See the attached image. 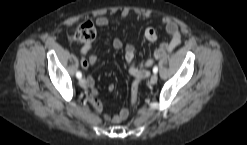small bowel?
<instances>
[{
  "label": "small bowel",
  "mask_w": 247,
  "mask_h": 145,
  "mask_svg": "<svg viewBox=\"0 0 247 145\" xmlns=\"http://www.w3.org/2000/svg\"><path fill=\"white\" fill-rule=\"evenodd\" d=\"M125 16L126 13H123ZM96 25L100 28L106 27L109 24V19L105 16H100L96 19ZM161 25L165 28L166 32L170 36L168 42L161 43L153 52L151 58L144 62H137L135 60V47L131 43L125 45V60L129 67V73L135 77L136 82H140L146 79L149 75L147 68L150 67L155 60L159 59L166 52L172 51L181 43V31L178 24L170 17H164L161 19ZM144 38L146 41L154 42L157 40V32L154 28L148 27L144 30ZM114 49L119 50L123 48V42L115 38L112 41ZM92 45L85 44L81 48V60L80 64L83 69H88L90 66H94L98 63V57L91 52ZM88 90L85 92L87 100L92 104L94 109L101 113L104 110V103L99 99L95 87V79L93 76H87L86 78ZM114 86L109 85L108 90L113 91ZM128 115L127 110H122L115 115H104V120L107 123L118 124L124 120Z\"/></svg>",
  "instance_id": "c3829d8e"
}]
</instances>
